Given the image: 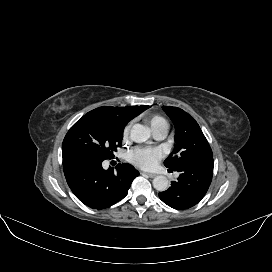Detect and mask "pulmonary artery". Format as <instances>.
<instances>
[{
  "mask_svg": "<svg viewBox=\"0 0 272 272\" xmlns=\"http://www.w3.org/2000/svg\"><path fill=\"white\" fill-rule=\"evenodd\" d=\"M166 133H167V130L165 129L153 132L154 137L156 139H163L166 136ZM176 176H178V173H176Z\"/></svg>",
  "mask_w": 272,
  "mask_h": 272,
  "instance_id": "pulmonary-artery-1",
  "label": "pulmonary artery"
}]
</instances>
